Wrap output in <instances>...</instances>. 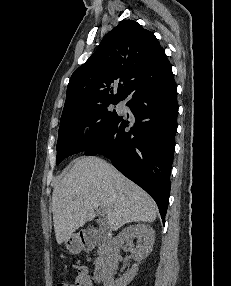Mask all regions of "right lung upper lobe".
I'll return each mask as SVG.
<instances>
[{"mask_svg": "<svg viewBox=\"0 0 231 286\" xmlns=\"http://www.w3.org/2000/svg\"><path fill=\"white\" fill-rule=\"evenodd\" d=\"M170 72V63L154 34L136 21L124 20L72 74L62 116L104 102L121 101L135 84Z\"/></svg>", "mask_w": 231, "mask_h": 286, "instance_id": "cb5924a9", "label": "right lung upper lobe"}]
</instances>
